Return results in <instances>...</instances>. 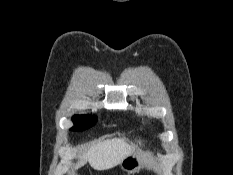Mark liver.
Returning <instances> with one entry per match:
<instances>
[{"label":"liver","mask_w":233,"mask_h":175,"mask_svg":"<svg viewBox=\"0 0 233 175\" xmlns=\"http://www.w3.org/2000/svg\"><path fill=\"white\" fill-rule=\"evenodd\" d=\"M132 151V146L123 139H111L98 141L91 146L86 154L80 157L76 169L85 164L86 161L95 170L110 169L118 164Z\"/></svg>","instance_id":"6515ba94"}]
</instances>
